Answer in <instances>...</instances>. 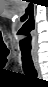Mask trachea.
Masks as SVG:
<instances>
[{
	"label": "trachea",
	"mask_w": 48,
	"mask_h": 87,
	"mask_svg": "<svg viewBox=\"0 0 48 87\" xmlns=\"http://www.w3.org/2000/svg\"><path fill=\"white\" fill-rule=\"evenodd\" d=\"M22 67L25 74L29 77H37V72L32 60L31 51L21 49Z\"/></svg>",
	"instance_id": "1"
}]
</instances>
